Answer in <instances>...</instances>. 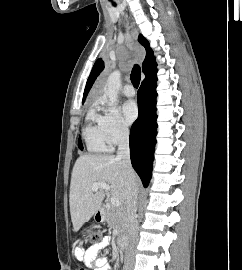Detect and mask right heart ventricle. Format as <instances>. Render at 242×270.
I'll use <instances>...</instances> for the list:
<instances>
[{"label": "right heart ventricle", "mask_w": 242, "mask_h": 270, "mask_svg": "<svg viewBox=\"0 0 242 270\" xmlns=\"http://www.w3.org/2000/svg\"><path fill=\"white\" fill-rule=\"evenodd\" d=\"M83 138L90 152L99 153L111 149L103 126V116L98 112L96 105H93L87 113Z\"/></svg>", "instance_id": "e07e8e85"}]
</instances>
